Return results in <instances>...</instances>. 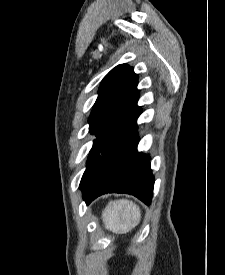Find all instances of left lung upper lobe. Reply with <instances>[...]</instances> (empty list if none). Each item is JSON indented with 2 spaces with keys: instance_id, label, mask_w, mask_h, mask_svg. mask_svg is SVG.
<instances>
[{
  "instance_id": "left-lung-upper-lobe-1",
  "label": "left lung upper lobe",
  "mask_w": 225,
  "mask_h": 275,
  "mask_svg": "<svg viewBox=\"0 0 225 275\" xmlns=\"http://www.w3.org/2000/svg\"><path fill=\"white\" fill-rule=\"evenodd\" d=\"M98 94L89 118L90 132L97 139L90 150L80 184L89 177L101 156L136 125L141 113L137 106V75L126 64L116 66L105 76Z\"/></svg>"
}]
</instances>
